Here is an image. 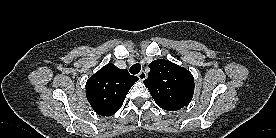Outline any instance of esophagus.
Here are the masks:
<instances>
[{"label":"esophagus","instance_id":"obj_1","mask_svg":"<svg viewBox=\"0 0 276 138\" xmlns=\"http://www.w3.org/2000/svg\"><path fill=\"white\" fill-rule=\"evenodd\" d=\"M138 78L140 80H145L147 78V74L144 72V71H141L139 74H138Z\"/></svg>","mask_w":276,"mask_h":138}]
</instances>
